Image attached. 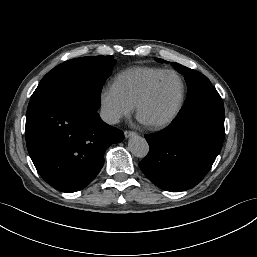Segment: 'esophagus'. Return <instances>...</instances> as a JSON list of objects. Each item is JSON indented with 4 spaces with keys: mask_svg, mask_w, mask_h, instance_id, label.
Segmentation results:
<instances>
[{
    "mask_svg": "<svg viewBox=\"0 0 257 257\" xmlns=\"http://www.w3.org/2000/svg\"><path fill=\"white\" fill-rule=\"evenodd\" d=\"M136 135H137V133L134 132V131L126 130V131L124 132L125 138L134 137V136H136Z\"/></svg>",
    "mask_w": 257,
    "mask_h": 257,
    "instance_id": "34e87169",
    "label": "esophagus"
}]
</instances>
